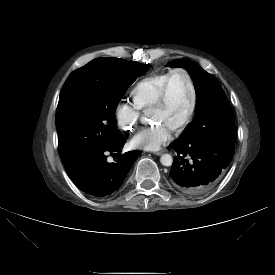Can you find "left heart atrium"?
Returning <instances> with one entry per match:
<instances>
[{"label":"left heart atrium","instance_id":"left-heart-atrium-1","mask_svg":"<svg viewBox=\"0 0 275 275\" xmlns=\"http://www.w3.org/2000/svg\"><path fill=\"white\" fill-rule=\"evenodd\" d=\"M174 128L168 124L157 121L154 124L141 129L132 138V144L136 148L145 150H158L169 142Z\"/></svg>","mask_w":275,"mask_h":275}]
</instances>
